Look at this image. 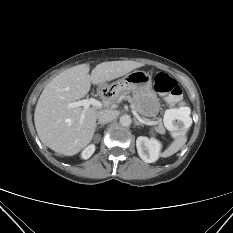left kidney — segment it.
<instances>
[{"label":"left kidney","instance_id":"5707ae66","mask_svg":"<svg viewBox=\"0 0 233 233\" xmlns=\"http://www.w3.org/2000/svg\"><path fill=\"white\" fill-rule=\"evenodd\" d=\"M136 147L139 157L144 162L153 163L158 160L162 145L157 139L139 136L136 140Z\"/></svg>","mask_w":233,"mask_h":233}]
</instances>
